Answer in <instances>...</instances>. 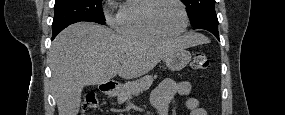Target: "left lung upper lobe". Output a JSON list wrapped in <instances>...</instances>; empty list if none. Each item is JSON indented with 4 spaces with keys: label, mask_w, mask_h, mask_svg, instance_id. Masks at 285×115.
I'll return each mask as SVG.
<instances>
[{
    "label": "left lung upper lobe",
    "mask_w": 285,
    "mask_h": 115,
    "mask_svg": "<svg viewBox=\"0 0 285 115\" xmlns=\"http://www.w3.org/2000/svg\"><path fill=\"white\" fill-rule=\"evenodd\" d=\"M186 6L192 26H195L201 19L216 15L215 0H182Z\"/></svg>",
    "instance_id": "1"
}]
</instances>
